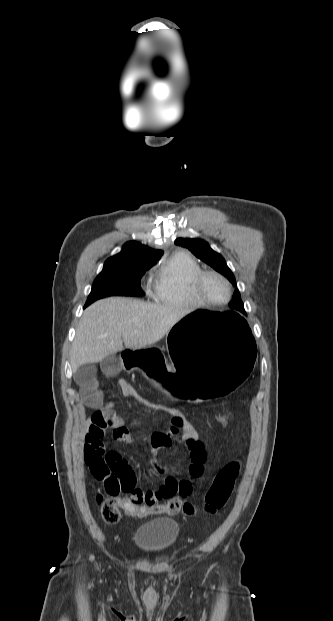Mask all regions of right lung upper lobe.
<instances>
[{
  "label": "right lung upper lobe",
  "mask_w": 333,
  "mask_h": 621,
  "mask_svg": "<svg viewBox=\"0 0 333 621\" xmlns=\"http://www.w3.org/2000/svg\"><path fill=\"white\" fill-rule=\"evenodd\" d=\"M162 254V250H155L136 241H130L122 247L120 253L108 258L105 263H139L153 266Z\"/></svg>",
  "instance_id": "cb5924a9"
}]
</instances>
